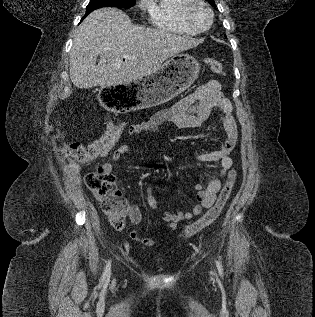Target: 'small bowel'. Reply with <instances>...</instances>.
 I'll return each mask as SVG.
<instances>
[{
	"label": "small bowel",
	"mask_w": 315,
	"mask_h": 317,
	"mask_svg": "<svg viewBox=\"0 0 315 317\" xmlns=\"http://www.w3.org/2000/svg\"><path fill=\"white\" fill-rule=\"evenodd\" d=\"M213 110L221 112L220 118L227 138L218 150L200 153L196 156V160L214 163L218 166V170L211 176L206 185L201 183L194 185V189L197 191L198 204L192 210L186 212H164L163 219L168 224L169 231H174L180 221L192 219L199 215L203 209L210 208L214 204L216 194L221 187L220 178L232 165L230 154L238 138L237 124L233 116L232 106L223 97L219 82L212 80L201 85L195 92L179 100L172 107L163 109L148 120L131 124L128 127V134L131 136L155 132L165 122H172L180 129L196 128L209 118ZM130 152V145H120L114 150L112 161L117 162ZM102 168L107 173H111L113 164L105 162ZM146 194L147 203L150 208L160 211L159 203L153 195V187L151 185H148ZM128 214L133 225L141 223L142 214L136 204L129 206ZM130 238L147 247H151L157 242L156 238L143 237L138 231H132Z\"/></svg>",
	"instance_id": "1"
}]
</instances>
